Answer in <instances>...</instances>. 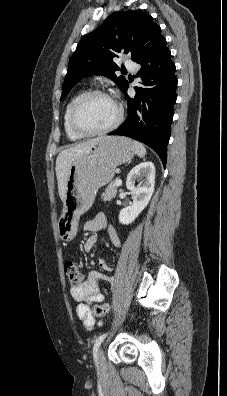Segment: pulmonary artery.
<instances>
[{"label":"pulmonary artery","instance_id":"e3ab8cb5","mask_svg":"<svg viewBox=\"0 0 227 396\" xmlns=\"http://www.w3.org/2000/svg\"><path fill=\"white\" fill-rule=\"evenodd\" d=\"M125 66L130 69L131 71H135L137 68V65L135 62H133L132 60H126L125 61Z\"/></svg>","mask_w":227,"mask_h":396}]
</instances>
